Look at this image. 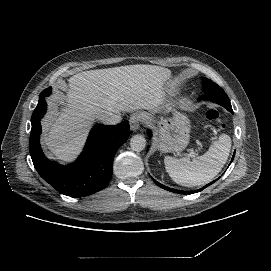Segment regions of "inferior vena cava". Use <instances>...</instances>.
I'll return each instance as SVG.
<instances>
[{
  "instance_id": "602c4592",
  "label": "inferior vena cava",
  "mask_w": 271,
  "mask_h": 271,
  "mask_svg": "<svg viewBox=\"0 0 271 271\" xmlns=\"http://www.w3.org/2000/svg\"><path fill=\"white\" fill-rule=\"evenodd\" d=\"M103 124L106 125H115L121 122L120 114H115L112 112H106L98 115L97 117Z\"/></svg>"
}]
</instances>
